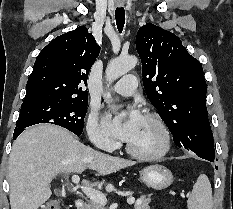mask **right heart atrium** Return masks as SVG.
Returning a JSON list of instances; mask_svg holds the SVG:
<instances>
[{"label": "right heart atrium", "instance_id": "right-heart-atrium-1", "mask_svg": "<svg viewBox=\"0 0 233 209\" xmlns=\"http://www.w3.org/2000/svg\"><path fill=\"white\" fill-rule=\"evenodd\" d=\"M87 133L90 142L99 149L111 151L117 147L115 138L99 121L98 112L95 109H92L88 115Z\"/></svg>", "mask_w": 233, "mask_h": 209}]
</instances>
